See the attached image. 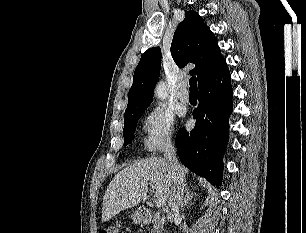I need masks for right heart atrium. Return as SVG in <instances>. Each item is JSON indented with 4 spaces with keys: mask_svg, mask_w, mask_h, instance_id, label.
Segmentation results:
<instances>
[{
    "mask_svg": "<svg viewBox=\"0 0 306 233\" xmlns=\"http://www.w3.org/2000/svg\"><path fill=\"white\" fill-rule=\"evenodd\" d=\"M174 123L173 114L163 107H155L145 115L143 143L148 152L155 154L172 143Z\"/></svg>",
    "mask_w": 306,
    "mask_h": 233,
    "instance_id": "1",
    "label": "right heart atrium"
}]
</instances>
